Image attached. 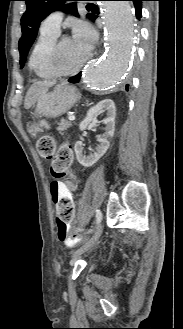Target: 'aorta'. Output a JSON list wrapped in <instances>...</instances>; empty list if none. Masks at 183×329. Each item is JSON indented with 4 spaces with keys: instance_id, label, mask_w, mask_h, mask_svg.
<instances>
[{
    "instance_id": "762f6f07",
    "label": "aorta",
    "mask_w": 183,
    "mask_h": 329,
    "mask_svg": "<svg viewBox=\"0 0 183 329\" xmlns=\"http://www.w3.org/2000/svg\"><path fill=\"white\" fill-rule=\"evenodd\" d=\"M107 50L103 58L87 67L85 83L92 89L109 91L124 75L134 41L133 8L128 1L103 2Z\"/></svg>"
}]
</instances>
